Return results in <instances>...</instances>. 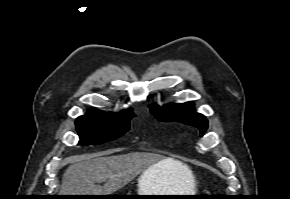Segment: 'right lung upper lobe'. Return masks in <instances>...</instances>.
<instances>
[{"label": "right lung upper lobe", "instance_id": "obj_1", "mask_svg": "<svg viewBox=\"0 0 290 199\" xmlns=\"http://www.w3.org/2000/svg\"><path fill=\"white\" fill-rule=\"evenodd\" d=\"M88 116H123V115H135L132 110H124L119 113H106L94 108L88 109V113L86 114Z\"/></svg>", "mask_w": 290, "mask_h": 199}]
</instances>
